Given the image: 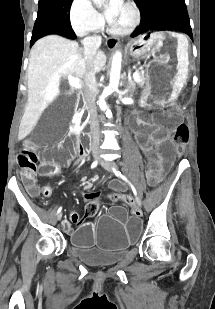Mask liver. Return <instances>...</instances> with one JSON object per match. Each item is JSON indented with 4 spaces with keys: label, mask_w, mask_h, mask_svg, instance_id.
<instances>
[{
    "label": "liver",
    "mask_w": 215,
    "mask_h": 309,
    "mask_svg": "<svg viewBox=\"0 0 215 309\" xmlns=\"http://www.w3.org/2000/svg\"><path fill=\"white\" fill-rule=\"evenodd\" d=\"M106 60L105 52L98 50L93 60L94 72H100ZM86 70L84 50L76 40L48 34L33 44L28 64V104L19 126V140L31 132L43 110L58 96L60 78H84Z\"/></svg>",
    "instance_id": "liver-1"
}]
</instances>
